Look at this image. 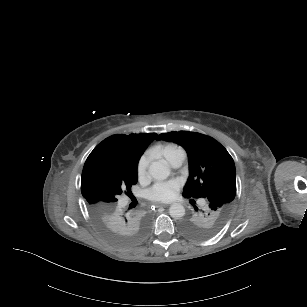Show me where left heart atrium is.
<instances>
[{
    "mask_svg": "<svg viewBox=\"0 0 307 307\" xmlns=\"http://www.w3.org/2000/svg\"><path fill=\"white\" fill-rule=\"evenodd\" d=\"M176 188L171 182H162L149 190V197L156 201H167L174 197Z\"/></svg>",
    "mask_w": 307,
    "mask_h": 307,
    "instance_id": "left-heart-atrium-1",
    "label": "left heart atrium"
}]
</instances>
